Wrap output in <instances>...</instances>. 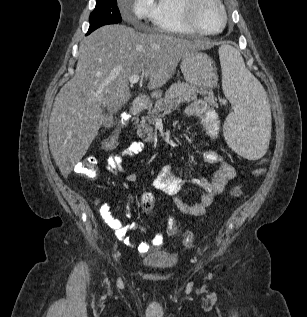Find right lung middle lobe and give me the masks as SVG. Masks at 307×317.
I'll list each match as a JSON object with an SVG mask.
<instances>
[{"label":"right lung middle lobe","instance_id":"dd1d6c3e","mask_svg":"<svg viewBox=\"0 0 307 317\" xmlns=\"http://www.w3.org/2000/svg\"><path fill=\"white\" fill-rule=\"evenodd\" d=\"M90 27L87 34L97 28L107 25L120 23L122 21L116 0H96V7L90 14Z\"/></svg>","mask_w":307,"mask_h":317}]
</instances>
